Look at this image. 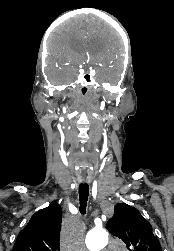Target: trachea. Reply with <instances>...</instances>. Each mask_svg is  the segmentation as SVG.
Returning a JSON list of instances; mask_svg holds the SVG:
<instances>
[{
	"mask_svg": "<svg viewBox=\"0 0 174 251\" xmlns=\"http://www.w3.org/2000/svg\"><path fill=\"white\" fill-rule=\"evenodd\" d=\"M88 196H89V186L87 184H81L79 186V201H80V213L82 215L86 213Z\"/></svg>",
	"mask_w": 174,
	"mask_h": 251,
	"instance_id": "3493384b",
	"label": "trachea"
}]
</instances>
